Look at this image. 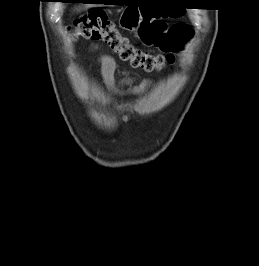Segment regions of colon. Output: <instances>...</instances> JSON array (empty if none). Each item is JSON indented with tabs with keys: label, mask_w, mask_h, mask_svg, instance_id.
<instances>
[{
	"label": "colon",
	"mask_w": 259,
	"mask_h": 266,
	"mask_svg": "<svg viewBox=\"0 0 259 266\" xmlns=\"http://www.w3.org/2000/svg\"><path fill=\"white\" fill-rule=\"evenodd\" d=\"M139 33L144 42L161 49L165 54H152L134 46L101 9L90 10L75 20L69 35L72 40H102L122 60L147 72L160 71L172 63L174 53L182 50L192 36L188 26L174 24L167 27L156 13L144 17Z\"/></svg>",
	"instance_id": "1"
}]
</instances>
